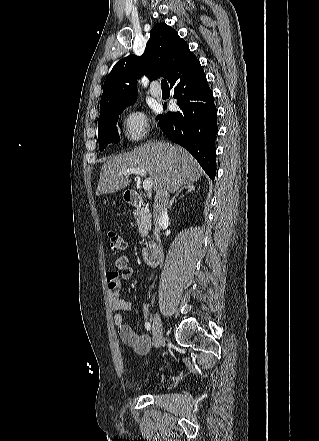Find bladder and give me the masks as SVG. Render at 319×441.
Instances as JSON below:
<instances>
[{
  "label": "bladder",
  "mask_w": 319,
  "mask_h": 441,
  "mask_svg": "<svg viewBox=\"0 0 319 441\" xmlns=\"http://www.w3.org/2000/svg\"><path fill=\"white\" fill-rule=\"evenodd\" d=\"M136 387H137L139 390H144V389L147 387V383L138 382V383H136Z\"/></svg>",
  "instance_id": "bladder-1"
}]
</instances>
